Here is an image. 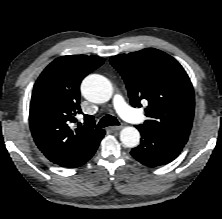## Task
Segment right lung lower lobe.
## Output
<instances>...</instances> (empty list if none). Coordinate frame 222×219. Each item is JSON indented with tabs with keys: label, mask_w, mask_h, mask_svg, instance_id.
<instances>
[{
	"label": "right lung lower lobe",
	"mask_w": 222,
	"mask_h": 219,
	"mask_svg": "<svg viewBox=\"0 0 222 219\" xmlns=\"http://www.w3.org/2000/svg\"><path fill=\"white\" fill-rule=\"evenodd\" d=\"M105 135V131L102 130V133L100 135V137L97 139V141L93 144V146L86 152V154L83 156L82 159H80L74 166L73 168L79 167L81 165H83L84 163H86L96 152L98 145L100 143V141L102 140V138Z\"/></svg>",
	"instance_id": "obj_1"
}]
</instances>
